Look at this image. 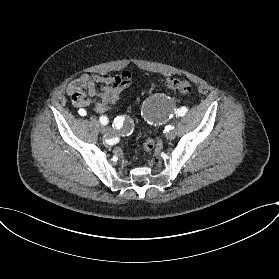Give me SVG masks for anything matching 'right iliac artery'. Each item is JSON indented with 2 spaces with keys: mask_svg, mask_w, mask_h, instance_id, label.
<instances>
[{
  "mask_svg": "<svg viewBox=\"0 0 279 279\" xmlns=\"http://www.w3.org/2000/svg\"><path fill=\"white\" fill-rule=\"evenodd\" d=\"M79 114H80L81 117H84V116L88 115V112L84 109H80ZM100 122H101V124L106 125L109 121H108V118L106 116H101L100 117ZM113 126L117 130H122L126 126V121L123 117L118 116L114 119Z\"/></svg>",
  "mask_w": 279,
  "mask_h": 279,
  "instance_id": "right-iliac-artery-1",
  "label": "right iliac artery"
}]
</instances>
